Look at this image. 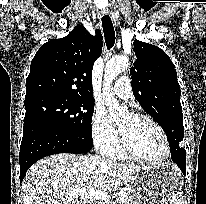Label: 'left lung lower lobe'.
I'll return each mask as SVG.
<instances>
[{"label":"left lung lower lobe","mask_w":206,"mask_h":204,"mask_svg":"<svg viewBox=\"0 0 206 204\" xmlns=\"http://www.w3.org/2000/svg\"><path fill=\"white\" fill-rule=\"evenodd\" d=\"M171 158L184 175H186V151L184 148L177 144H170Z\"/></svg>","instance_id":"obj_1"}]
</instances>
